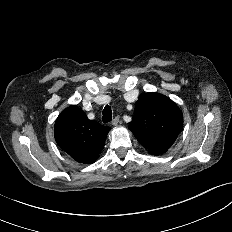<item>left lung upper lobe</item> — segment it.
Returning <instances> with one entry per match:
<instances>
[{"instance_id":"obj_1","label":"left lung upper lobe","mask_w":232,"mask_h":232,"mask_svg":"<svg viewBox=\"0 0 232 232\" xmlns=\"http://www.w3.org/2000/svg\"><path fill=\"white\" fill-rule=\"evenodd\" d=\"M183 127V114L168 97L155 92L140 95L129 129L149 153L169 149Z\"/></svg>"}]
</instances>
